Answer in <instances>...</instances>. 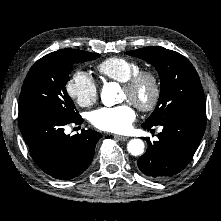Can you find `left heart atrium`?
<instances>
[{"label":"left heart atrium","mask_w":221,"mask_h":221,"mask_svg":"<svg viewBox=\"0 0 221 221\" xmlns=\"http://www.w3.org/2000/svg\"><path fill=\"white\" fill-rule=\"evenodd\" d=\"M136 114L130 104L115 107H103L91 114L92 124L103 131L113 133L127 132L135 120Z\"/></svg>","instance_id":"left-heart-atrium-1"}]
</instances>
